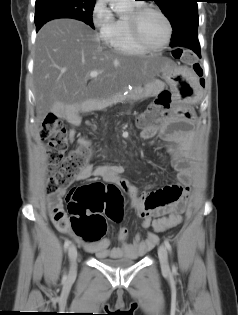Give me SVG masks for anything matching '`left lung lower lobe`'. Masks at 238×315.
<instances>
[{"mask_svg":"<svg viewBox=\"0 0 238 315\" xmlns=\"http://www.w3.org/2000/svg\"><path fill=\"white\" fill-rule=\"evenodd\" d=\"M171 47H186L192 49L199 57L200 54V44L197 36L188 37L180 41L172 42Z\"/></svg>","mask_w":238,"mask_h":315,"instance_id":"obj_1","label":"left lung lower lobe"}]
</instances>
